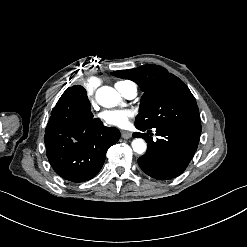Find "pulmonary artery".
Masks as SVG:
<instances>
[{"instance_id":"e3ab8cb5","label":"pulmonary artery","mask_w":247,"mask_h":247,"mask_svg":"<svg viewBox=\"0 0 247 247\" xmlns=\"http://www.w3.org/2000/svg\"><path fill=\"white\" fill-rule=\"evenodd\" d=\"M117 89L127 98L131 99L137 95L136 86L132 84H118Z\"/></svg>"}]
</instances>
